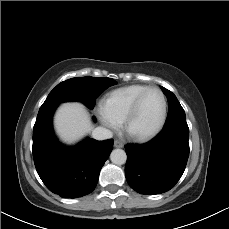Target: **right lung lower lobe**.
Returning <instances> with one entry per match:
<instances>
[{
	"label": "right lung lower lobe",
	"instance_id": "98d812e1",
	"mask_svg": "<svg viewBox=\"0 0 229 229\" xmlns=\"http://www.w3.org/2000/svg\"><path fill=\"white\" fill-rule=\"evenodd\" d=\"M56 107L40 108L38 112L33 128L35 167L51 192L63 198L82 197L95 189L113 140L85 139L73 147L62 145L52 128Z\"/></svg>",
	"mask_w": 229,
	"mask_h": 229
}]
</instances>
